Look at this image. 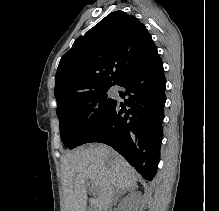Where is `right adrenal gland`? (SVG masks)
I'll use <instances>...</instances> for the list:
<instances>
[{
    "label": "right adrenal gland",
    "instance_id": "2a0ac1e0",
    "mask_svg": "<svg viewBox=\"0 0 219 211\" xmlns=\"http://www.w3.org/2000/svg\"><path fill=\"white\" fill-rule=\"evenodd\" d=\"M136 187H130V189H124V191H121V193H128V195H131V193H135Z\"/></svg>",
    "mask_w": 219,
    "mask_h": 211
}]
</instances>
